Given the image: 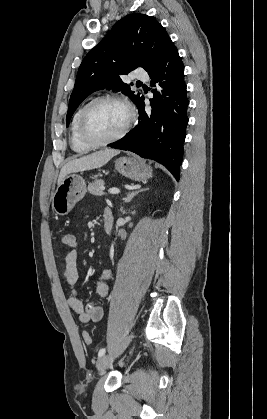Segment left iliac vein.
<instances>
[{
    "label": "left iliac vein",
    "instance_id": "obj_1",
    "mask_svg": "<svg viewBox=\"0 0 267 419\" xmlns=\"http://www.w3.org/2000/svg\"><path fill=\"white\" fill-rule=\"evenodd\" d=\"M114 357L112 355H103L97 362V369L99 372L105 371L112 363Z\"/></svg>",
    "mask_w": 267,
    "mask_h": 419
}]
</instances>
